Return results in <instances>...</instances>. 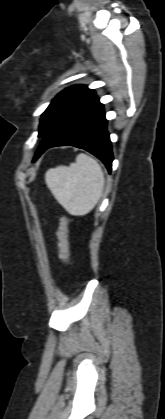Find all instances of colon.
I'll return each instance as SVG.
<instances>
[{"mask_svg": "<svg viewBox=\"0 0 165 419\" xmlns=\"http://www.w3.org/2000/svg\"><path fill=\"white\" fill-rule=\"evenodd\" d=\"M57 238L59 241L60 256L67 266L70 264L71 259V247L69 237V226L65 218L60 219Z\"/></svg>", "mask_w": 165, "mask_h": 419, "instance_id": "obj_1", "label": "colon"}]
</instances>
